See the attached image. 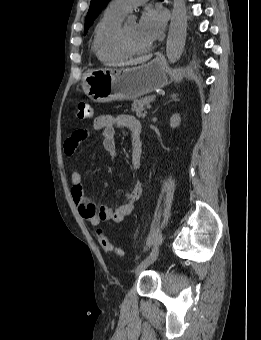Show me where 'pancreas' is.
Returning a JSON list of instances; mask_svg holds the SVG:
<instances>
[{
	"mask_svg": "<svg viewBox=\"0 0 261 340\" xmlns=\"http://www.w3.org/2000/svg\"><path fill=\"white\" fill-rule=\"evenodd\" d=\"M150 102H151L150 98L134 100L131 108L132 112L136 113L138 117L144 118L147 114V111H145L144 106L148 105Z\"/></svg>",
	"mask_w": 261,
	"mask_h": 340,
	"instance_id": "cf45deb5",
	"label": "pancreas"
}]
</instances>
